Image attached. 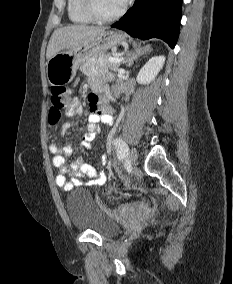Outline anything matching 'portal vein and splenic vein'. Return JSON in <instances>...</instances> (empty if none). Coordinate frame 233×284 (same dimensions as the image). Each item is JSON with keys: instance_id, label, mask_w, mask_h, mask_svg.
Returning a JSON list of instances; mask_svg holds the SVG:
<instances>
[{"instance_id": "1", "label": "portal vein and splenic vein", "mask_w": 233, "mask_h": 284, "mask_svg": "<svg viewBox=\"0 0 233 284\" xmlns=\"http://www.w3.org/2000/svg\"><path fill=\"white\" fill-rule=\"evenodd\" d=\"M124 60V58H122V57H110L109 59H108V61L109 62H113V63H120V62H122Z\"/></svg>"}]
</instances>
